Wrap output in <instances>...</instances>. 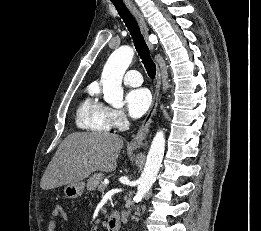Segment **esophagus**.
<instances>
[{
	"instance_id": "1",
	"label": "esophagus",
	"mask_w": 261,
	"mask_h": 231,
	"mask_svg": "<svg viewBox=\"0 0 261 231\" xmlns=\"http://www.w3.org/2000/svg\"><path fill=\"white\" fill-rule=\"evenodd\" d=\"M125 5L127 6V8L130 10V12L133 14V16L136 18V20L138 21L142 34L145 38V41L149 47V49L151 51H153L154 49V44L158 41L157 36L156 35H152V38H149V30L147 27V24L145 22V19L143 17V15L138 11V9L136 8V6L134 5L133 1L131 0H124ZM160 88H161V70L159 65L157 64V68H156V85H155V92H154V96H153V102L152 105L147 113V116L145 117L138 133L136 134V136L132 139V141L129 143V147L131 148H137L140 145L143 144L146 135L149 131V127H150V123L152 121L153 116L156 113V108H157V104H158V98H159V92H160Z\"/></svg>"
}]
</instances>
